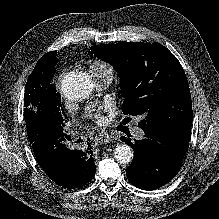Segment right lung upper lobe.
I'll return each instance as SVG.
<instances>
[{"instance_id": "1", "label": "right lung upper lobe", "mask_w": 219, "mask_h": 219, "mask_svg": "<svg viewBox=\"0 0 219 219\" xmlns=\"http://www.w3.org/2000/svg\"><path fill=\"white\" fill-rule=\"evenodd\" d=\"M47 54H53L54 56H55V61H57L58 62V60H57V58H56V51H52V52H49V53H47Z\"/></svg>"}]
</instances>
